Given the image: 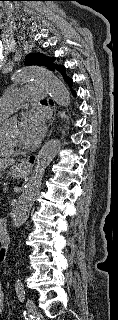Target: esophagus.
I'll return each mask as SVG.
<instances>
[{"instance_id":"obj_1","label":"esophagus","mask_w":118,"mask_h":320,"mask_svg":"<svg viewBox=\"0 0 118 320\" xmlns=\"http://www.w3.org/2000/svg\"><path fill=\"white\" fill-rule=\"evenodd\" d=\"M53 121H54V117L50 121V125H52ZM51 132H52V130H50L49 136L51 135ZM36 158H37L36 155H30L22 162V165H24V166H33L35 164V162H36Z\"/></svg>"}]
</instances>
